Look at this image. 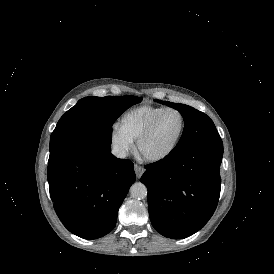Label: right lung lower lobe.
Here are the masks:
<instances>
[{
    "label": "right lung lower lobe",
    "mask_w": 274,
    "mask_h": 274,
    "mask_svg": "<svg viewBox=\"0 0 274 274\" xmlns=\"http://www.w3.org/2000/svg\"><path fill=\"white\" fill-rule=\"evenodd\" d=\"M111 129H97L50 152L47 177L54 209L73 234L97 239L116 225L136 176L133 163L111 154Z\"/></svg>",
    "instance_id": "98d812e1"
}]
</instances>
